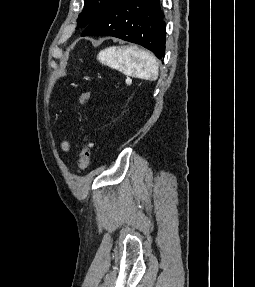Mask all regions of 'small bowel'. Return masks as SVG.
Wrapping results in <instances>:
<instances>
[{
  "instance_id": "obj_1",
  "label": "small bowel",
  "mask_w": 255,
  "mask_h": 287,
  "mask_svg": "<svg viewBox=\"0 0 255 287\" xmlns=\"http://www.w3.org/2000/svg\"><path fill=\"white\" fill-rule=\"evenodd\" d=\"M62 151L67 153L70 150V144L68 141H64L61 145Z\"/></svg>"
}]
</instances>
